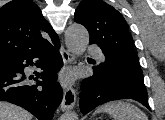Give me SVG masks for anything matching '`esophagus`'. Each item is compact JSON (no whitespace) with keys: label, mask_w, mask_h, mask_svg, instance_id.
Returning <instances> with one entry per match:
<instances>
[{"label":"esophagus","mask_w":165,"mask_h":120,"mask_svg":"<svg viewBox=\"0 0 165 120\" xmlns=\"http://www.w3.org/2000/svg\"><path fill=\"white\" fill-rule=\"evenodd\" d=\"M61 56L65 65L71 64L74 61L73 55H71L66 49L61 48ZM76 102V91L72 86H67L64 90L63 99L60 105L62 111L71 110Z\"/></svg>","instance_id":"34e87169"}]
</instances>
